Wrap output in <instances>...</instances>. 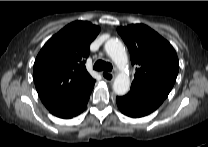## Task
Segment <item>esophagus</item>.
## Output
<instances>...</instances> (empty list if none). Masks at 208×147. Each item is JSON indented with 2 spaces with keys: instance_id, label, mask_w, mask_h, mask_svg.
Segmentation results:
<instances>
[{
  "instance_id": "1",
  "label": "esophagus",
  "mask_w": 208,
  "mask_h": 147,
  "mask_svg": "<svg viewBox=\"0 0 208 147\" xmlns=\"http://www.w3.org/2000/svg\"><path fill=\"white\" fill-rule=\"evenodd\" d=\"M101 76L107 82H112L115 77V75L113 73H109V72H105V71L101 72Z\"/></svg>"
}]
</instances>
